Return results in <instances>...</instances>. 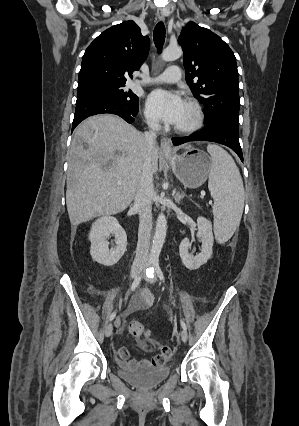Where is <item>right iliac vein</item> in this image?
Here are the masks:
<instances>
[{"mask_svg": "<svg viewBox=\"0 0 299 426\" xmlns=\"http://www.w3.org/2000/svg\"><path fill=\"white\" fill-rule=\"evenodd\" d=\"M142 268H143V265H137V266H135V267L132 269V271H131V276H132L133 278H136V277L140 274V272H141ZM112 332H113V325H112V323H109V324L105 327V335H106L107 337H109V336H111V335H112Z\"/></svg>", "mask_w": 299, "mask_h": 426, "instance_id": "1", "label": "right iliac vein"}]
</instances>
